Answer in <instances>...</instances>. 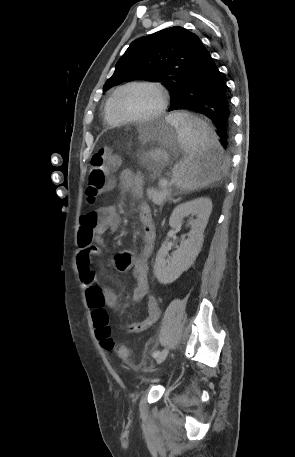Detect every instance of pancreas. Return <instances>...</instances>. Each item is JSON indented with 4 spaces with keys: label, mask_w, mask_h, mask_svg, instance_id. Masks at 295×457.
Listing matches in <instances>:
<instances>
[{
    "label": "pancreas",
    "mask_w": 295,
    "mask_h": 457,
    "mask_svg": "<svg viewBox=\"0 0 295 457\" xmlns=\"http://www.w3.org/2000/svg\"><path fill=\"white\" fill-rule=\"evenodd\" d=\"M147 195L148 198L152 200V202H154L155 204H162L170 195V190L167 186H162L159 184L158 189H148Z\"/></svg>",
    "instance_id": "obj_1"
}]
</instances>
